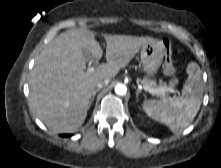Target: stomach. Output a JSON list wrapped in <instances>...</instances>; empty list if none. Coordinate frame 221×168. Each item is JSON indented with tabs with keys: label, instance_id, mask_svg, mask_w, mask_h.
<instances>
[{
	"label": "stomach",
	"instance_id": "1",
	"mask_svg": "<svg viewBox=\"0 0 221 168\" xmlns=\"http://www.w3.org/2000/svg\"><path fill=\"white\" fill-rule=\"evenodd\" d=\"M165 45L161 40L154 39L141 49L140 58L145 73L154 77L163 61Z\"/></svg>",
	"mask_w": 221,
	"mask_h": 168
}]
</instances>
